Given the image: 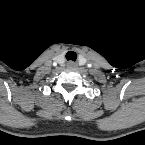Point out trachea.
Returning <instances> with one entry per match:
<instances>
[{"label": "trachea", "mask_w": 145, "mask_h": 145, "mask_svg": "<svg viewBox=\"0 0 145 145\" xmlns=\"http://www.w3.org/2000/svg\"><path fill=\"white\" fill-rule=\"evenodd\" d=\"M66 59L76 61L77 54L74 51H69V52L66 53Z\"/></svg>", "instance_id": "3493384b"}]
</instances>
